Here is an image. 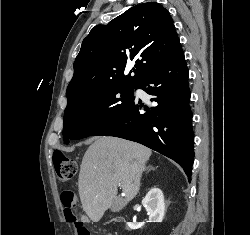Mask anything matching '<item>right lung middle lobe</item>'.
<instances>
[{"label":"right lung middle lobe","instance_id":"dd1d6c3e","mask_svg":"<svg viewBox=\"0 0 250 235\" xmlns=\"http://www.w3.org/2000/svg\"><path fill=\"white\" fill-rule=\"evenodd\" d=\"M134 89L108 87L69 102L64 113V143L91 136L105 126L131 102Z\"/></svg>","mask_w":250,"mask_h":235}]
</instances>
